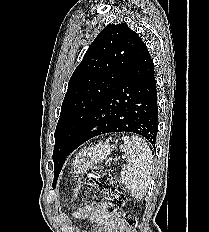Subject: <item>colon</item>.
I'll list each match as a JSON object with an SVG mask.
<instances>
[{
    "mask_svg": "<svg viewBox=\"0 0 209 232\" xmlns=\"http://www.w3.org/2000/svg\"><path fill=\"white\" fill-rule=\"evenodd\" d=\"M86 183L100 192L109 202V212L114 219L122 222L130 232L137 226L135 216L123 211L125 196L113 177L101 170H93L86 177Z\"/></svg>",
    "mask_w": 209,
    "mask_h": 232,
    "instance_id": "5ec220e1",
    "label": "colon"
}]
</instances>
